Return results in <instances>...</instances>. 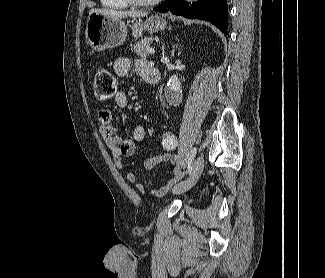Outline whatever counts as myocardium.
Returning <instances> with one entry per match:
<instances>
[{
  "label": "myocardium",
  "instance_id": "obj_1",
  "mask_svg": "<svg viewBox=\"0 0 325 278\" xmlns=\"http://www.w3.org/2000/svg\"><path fill=\"white\" fill-rule=\"evenodd\" d=\"M129 5L135 7H146L157 4L160 0H125Z\"/></svg>",
  "mask_w": 325,
  "mask_h": 278
}]
</instances>
